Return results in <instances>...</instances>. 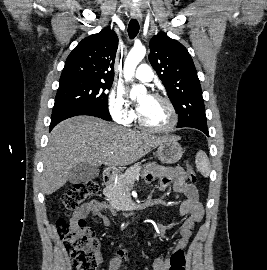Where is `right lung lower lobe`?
Instances as JSON below:
<instances>
[{"label": "right lung lower lobe", "mask_w": 267, "mask_h": 270, "mask_svg": "<svg viewBox=\"0 0 267 270\" xmlns=\"http://www.w3.org/2000/svg\"><path fill=\"white\" fill-rule=\"evenodd\" d=\"M77 115L95 116L107 121H111V116L109 114L108 109L102 108L79 109L68 106H59V107L54 106L49 130L51 131L59 122Z\"/></svg>", "instance_id": "obj_1"}]
</instances>
